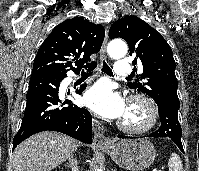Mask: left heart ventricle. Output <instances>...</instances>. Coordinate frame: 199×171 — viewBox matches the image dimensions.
<instances>
[{"label": "left heart ventricle", "mask_w": 199, "mask_h": 171, "mask_svg": "<svg viewBox=\"0 0 199 171\" xmlns=\"http://www.w3.org/2000/svg\"><path fill=\"white\" fill-rule=\"evenodd\" d=\"M143 114L140 108L137 106H129L126 108L122 119H125L131 123H137L142 120Z\"/></svg>", "instance_id": "left-heart-ventricle-1"}]
</instances>
